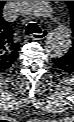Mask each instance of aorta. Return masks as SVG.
<instances>
[{"label": "aorta", "instance_id": "1", "mask_svg": "<svg viewBox=\"0 0 74 122\" xmlns=\"http://www.w3.org/2000/svg\"><path fill=\"white\" fill-rule=\"evenodd\" d=\"M17 6L19 11L28 17L52 20L54 28L45 42V49L49 55L59 58L69 51L72 43L71 30L59 19L50 1H17Z\"/></svg>", "mask_w": 74, "mask_h": 122}]
</instances>
